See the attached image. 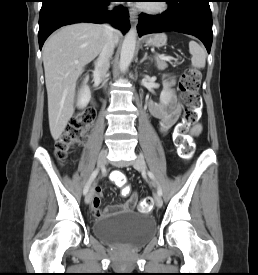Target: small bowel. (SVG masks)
Instances as JSON below:
<instances>
[{"instance_id":"small-bowel-1","label":"small bowel","mask_w":258,"mask_h":275,"mask_svg":"<svg viewBox=\"0 0 258 275\" xmlns=\"http://www.w3.org/2000/svg\"><path fill=\"white\" fill-rule=\"evenodd\" d=\"M169 84L174 85V79L167 76ZM151 115L159 121V131L161 134H166L177 122L180 117L182 104L176 92L172 89L169 97L165 102H151L149 104ZM201 125L196 124L192 130L191 135L195 136L201 131ZM104 189L100 185H96L92 190L91 211L97 218L103 216H111L117 212L130 211L137 203V194L134 192L130 199L118 205L106 207L104 210L100 209L101 199Z\"/></svg>"}]
</instances>
